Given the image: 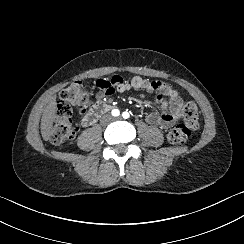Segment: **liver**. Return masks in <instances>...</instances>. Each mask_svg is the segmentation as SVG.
Masks as SVG:
<instances>
[{
    "instance_id": "1",
    "label": "liver",
    "mask_w": 244,
    "mask_h": 244,
    "mask_svg": "<svg viewBox=\"0 0 244 244\" xmlns=\"http://www.w3.org/2000/svg\"><path fill=\"white\" fill-rule=\"evenodd\" d=\"M56 113V95L50 97V102L47 105L41 118V135L44 141H48L51 137V131L55 122Z\"/></svg>"
}]
</instances>
